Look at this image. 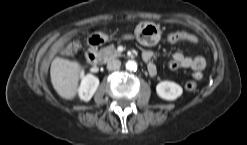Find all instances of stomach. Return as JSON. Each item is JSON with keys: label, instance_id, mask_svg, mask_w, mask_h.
Instances as JSON below:
<instances>
[{"label": "stomach", "instance_id": "0dacf381", "mask_svg": "<svg viewBox=\"0 0 247 145\" xmlns=\"http://www.w3.org/2000/svg\"><path fill=\"white\" fill-rule=\"evenodd\" d=\"M136 39L145 46L156 45L161 38V30L158 24L144 21L135 29Z\"/></svg>", "mask_w": 247, "mask_h": 145}]
</instances>
